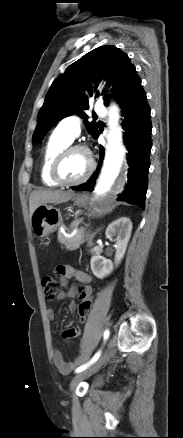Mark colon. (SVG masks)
Listing matches in <instances>:
<instances>
[{
  "mask_svg": "<svg viewBox=\"0 0 183 438\" xmlns=\"http://www.w3.org/2000/svg\"><path fill=\"white\" fill-rule=\"evenodd\" d=\"M42 285L44 289L45 299L49 301L54 300L60 291V284L58 283V281L52 277H45L42 281ZM91 307L92 297L83 296L80 299V303L78 305L79 322L81 324H84L86 322Z\"/></svg>",
  "mask_w": 183,
  "mask_h": 438,
  "instance_id": "colon-1",
  "label": "colon"
}]
</instances>
